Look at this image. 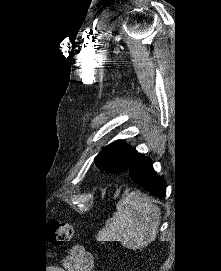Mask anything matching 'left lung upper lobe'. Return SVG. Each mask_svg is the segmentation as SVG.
<instances>
[{"label":"left lung upper lobe","instance_id":"obj_1","mask_svg":"<svg viewBox=\"0 0 221 271\" xmlns=\"http://www.w3.org/2000/svg\"><path fill=\"white\" fill-rule=\"evenodd\" d=\"M135 153L130 145L117 140L104 147L94 162L101 171L122 172L129 168Z\"/></svg>","mask_w":221,"mask_h":271}]
</instances>
